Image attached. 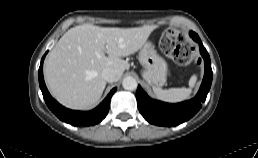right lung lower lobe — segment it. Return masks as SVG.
<instances>
[{"instance_id": "98d812e1", "label": "right lung lower lobe", "mask_w": 258, "mask_h": 158, "mask_svg": "<svg viewBox=\"0 0 258 158\" xmlns=\"http://www.w3.org/2000/svg\"><path fill=\"white\" fill-rule=\"evenodd\" d=\"M45 55L41 60L39 67L38 77L39 85L43 94V98L48 106V108L62 121L71 124L73 126H90L95 125L104 119L109 111V102L116 91V88H113L105 100L94 110L88 112L82 111H73L66 109L61 106L56 100H54L49 94L44 79H43V60Z\"/></svg>"}]
</instances>
